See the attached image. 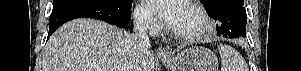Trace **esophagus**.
<instances>
[{
    "label": "esophagus",
    "mask_w": 301,
    "mask_h": 71,
    "mask_svg": "<svg viewBox=\"0 0 301 71\" xmlns=\"http://www.w3.org/2000/svg\"><path fill=\"white\" fill-rule=\"evenodd\" d=\"M157 55L162 59H167L170 57V52L164 47H158Z\"/></svg>",
    "instance_id": "esophagus-1"
}]
</instances>
